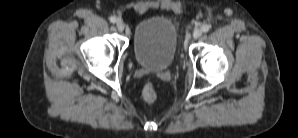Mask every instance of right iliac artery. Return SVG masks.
I'll use <instances>...</instances> for the list:
<instances>
[{
  "instance_id": "1",
  "label": "right iliac artery",
  "mask_w": 298,
  "mask_h": 138,
  "mask_svg": "<svg viewBox=\"0 0 298 138\" xmlns=\"http://www.w3.org/2000/svg\"><path fill=\"white\" fill-rule=\"evenodd\" d=\"M109 20H110V22L115 23L117 19H116V17L111 16V17L109 18Z\"/></svg>"
}]
</instances>
